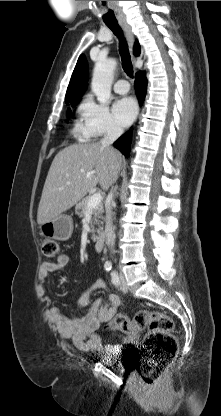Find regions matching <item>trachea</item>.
I'll return each instance as SVG.
<instances>
[{
    "label": "trachea",
    "instance_id": "obj_1",
    "mask_svg": "<svg viewBox=\"0 0 221 416\" xmlns=\"http://www.w3.org/2000/svg\"><path fill=\"white\" fill-rule=\"evenodd\" d=\"M108 28L116 35L120 41L119 43V53L122 60V67L125 71V73L129 77H133V66L131 62V57L128 49V45L126 43V40L123 35V31L121 27L119 26L118 22H112V23H105Z\"/></svg>",
    "mask_w": 221,
    "mask_h": 416
}]
</instances>
